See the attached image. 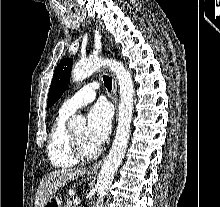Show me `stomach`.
Here are the masks:
<instances>
[{"instance_id":"0dacf381","label":"stomach","mask_w":220,"mask_h":207,"mask_svg":"<svg viewBox=\"0 0 220 207\" xmlns=\"http://www.w3.org/2000/svg\"><path fill=\"white\" fill-rule=\"evenodd\" d=\"M88 178H89V176H88ZM44 207H62V201L57 196H53L44 205Z\"/></svg>"}]
</instances>
